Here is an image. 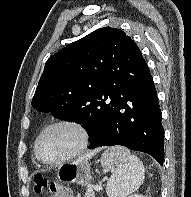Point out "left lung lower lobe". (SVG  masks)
Segmentation results:
<instances>
[{
    "mask_svg": "<svg viewBox=\"0 0 191 197\" xmlns=\"http://www.w3.org/2000/svg\"><path fill=\"white\" fill-rule=\"evenodd\" d=\"M161 111L148 68L131 71L87 120L90 148L122 145L164 160Z\"/></svg>",
    "mask_w": 191,
    "mask_h": 197,
    "instance_id": "1",
    "label": "left lung lower lobe"
}]
</instances>
